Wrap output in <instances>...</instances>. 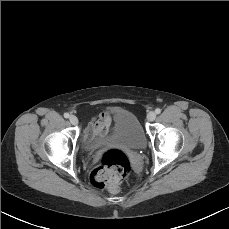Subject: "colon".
Instances as JSON below:
<instances>
[{
    "mask_svg": "<svg viewBox=\"0 0 229 229\" xmlns=\"http://www.w3.org/2000/svg\"><path fill=\"white\" fill-rule=\"evenodd\" d=\"M130 170L128 156L118 149L106 151L99 165L91 173V183L96 188H117Z\"/></svg>",
    "mask_w": 229,
    "mask_h": 229,
    "instance_id": "obj_1",
    "label": "colon"
}]
</instances>
